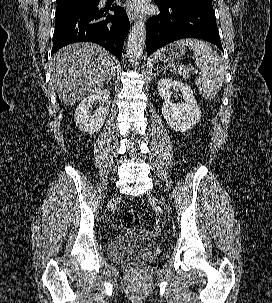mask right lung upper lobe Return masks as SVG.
<instances>
[{
  "mask_svg": "<svg viewBox=\"0 0 272 303\" xmlns=\"http://www.w3.org/2000/svg\"><path fill=\"white\" fill-rule=\"evenodd\" d=\"M56 1H57V4H62V3L78 1V0H56Z\"/></svg>",
  "mask_w": 272,
  "mask_h": 303,
  "instance_id": "obj_1",
  "label": "right lung upper lobe"
}]
</instances>
